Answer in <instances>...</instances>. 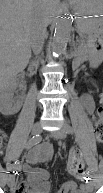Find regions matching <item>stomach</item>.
Returning a JSON list of instances; mask_svg holds the SVG:
<instances>
[{
  "label": "stomach",
  "mask_w": 103,
  "mask_h": 193,
  "mask_svg": "<svg viewBox=\"0 0 103 193\" xmlns=\"http://www.w3.org/2000/svg\"><path fill=\"white\" fill-rule=\"evenodd\" d=\"M75 14L80 16H100L103 11V0H70Z\"/></svg>",
  "instance_id": "stomach-1"
}]
</instances>
